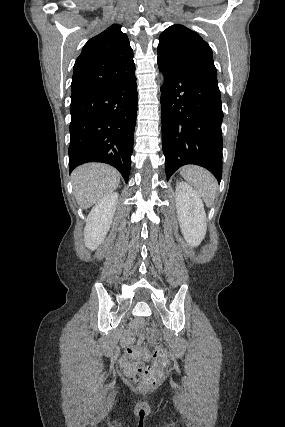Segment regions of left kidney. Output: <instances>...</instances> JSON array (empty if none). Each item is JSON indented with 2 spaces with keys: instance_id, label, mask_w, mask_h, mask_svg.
Instances as JSON below:
<instances>
[{
  "instance_id": "left-kidney-1",
  "label": "left kidney",
  "mask_w": 285,
  "mask_h": 427,
  "mask_svg": "<svg viewBox=\"0 0 285 427\" xmlns=\"http://www.w3.org/2000/svg\"><path fill=\"white\" fill-rule=\"evenodd\" d=\"M177 216L187 243L197 247L207 230L206 213L199 194L185 182L176 187Z\"/></svg>"
}]
</instances>
